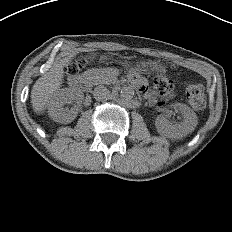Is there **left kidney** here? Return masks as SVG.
Listing matches in <instances>:
<instances>
[{
	"instance_id": "obj_1",
	"label": "left kidney",
	"mask_w": 232,
	"mask_h": 232,
	"mask_svg": "<svg viewBox=\"0 0 232 232\" xmlns=\"http://www.w3.org/2000/svg\"><path fill=\"white\" fill-rule=\"evenodd\" d=\"M173 107L183 115V121L172 123L168 120L167 114H160L155 120V126L159 134L170 139H181L195 129L198 118L196 113L186 104L176 103Z\"/></svg>"
}]
</instances>
